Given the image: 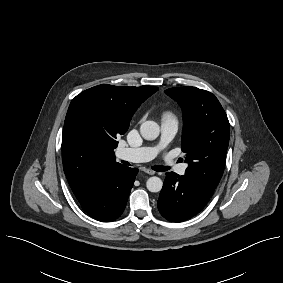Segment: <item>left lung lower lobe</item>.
I'll list each match as a JSON object with an SVG mask.
<instances>
[{"label":"left lung lower lobe","instance_id":"0a47b994","mask_svg":"<svg viewBox=\"0 0 283 283\" xmlns=\"http://www.w3.org/2000/svg\"><path fill=\"white\" fill-rule=\"evenodd\" d=\"M212 194L204 192L186 175L166 173L157 202L161 215L169 221L182 222L198 214Z\"/></svg>","mask_w":283,"mask_h":283}]
</instances>
